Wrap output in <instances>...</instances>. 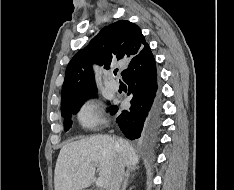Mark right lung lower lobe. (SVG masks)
Wrapping results in <instances>:
<instances>
[{
	"mask_svg": "<svg viewBox=\"0 0 234 190\" xmlns=\"http://www.w3.org/2000/svg\"><path fill=\"white\" fill-rule=\"evenodd\" d=\"M122 78L129 86L128 95H132L131 107L123 110L116 122L130 140L149 137L157 123V105L153 104L157 91V71L149 46L130 62ZM117 111L116 106L111 109L112 114Z\"/></svg>",
	"mask_w": 234,
	"mask_h": 190,
	"instance_id": "1",
	"label": "right lung lower lobe"
}]
</instances>
